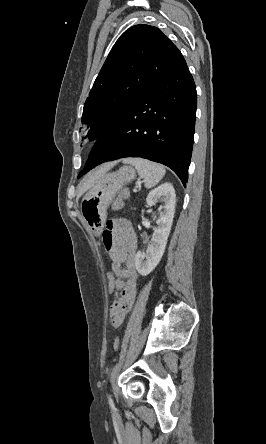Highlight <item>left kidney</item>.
<instances>
[{
  "label": "left kidney",
  "instance_id": "obj_1",
  "mask_svg": "<svg viewBox=\"0 0 266 444\" xmlns=\"http://www.w3.org/2000/svg\"><path fill=\"white\" fill-rule=\"evenodd\" d=\"M158 200L164 204V209L156 221L157 227L154 229L151 242L145 252L138 251L135 255V266L142 276L148 275L155 269L166 248L176 204V194L171 183H164L152 190L146 202L152 207Z\"/></svg>",
  "mask_w": 266,
  "mask_h": 444
}]
</instances>
